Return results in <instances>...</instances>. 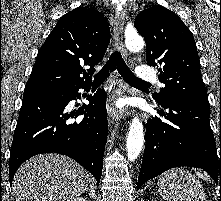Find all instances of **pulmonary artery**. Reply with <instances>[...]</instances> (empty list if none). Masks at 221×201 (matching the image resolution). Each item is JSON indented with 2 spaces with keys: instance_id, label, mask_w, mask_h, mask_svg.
Segmentation results:
<instances>
[{
  "instance_id": "pulmonary-artery-1",
  "label": "pulmonary artery",
  "mask_w": 221,
  "mask_h": 201,
  "mask_svg": "<svg viewBox=\"0 0 221 201\" xmlns=\"http://www.w3.org/2000/svg\"><path fill=\"white\" fill-rule=\"evenodd\" d=\"M136 77L142 81H157V74L156 72L145 65H140L136 69Z\"/></svg>"
}]
</instances>
